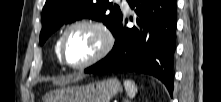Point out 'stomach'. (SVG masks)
Returning a JSON list of instances; mask_svg holds the SVG:
<instances>
[{"label": "stomach", "mask_w": 221, "mask_h": 102, "mask_svg": "<svg viewBox=\"0 0 221 102\" xmlns=\"http://www.w3.org/2000/svg\"><path fill=\"white\" fill-rule=\"evenodd\" d=\"M122 89L116 78L82 86H64L46 93L43 102H108Z\"/></svg>", "instance_id": "1"}]
</instances>
